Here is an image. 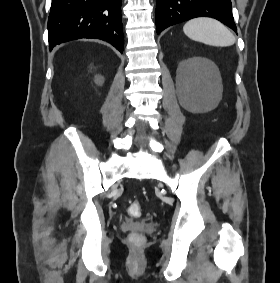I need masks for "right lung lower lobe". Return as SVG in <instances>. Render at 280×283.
I'll use <instances>...</instances> for the list:
<instances>
[{
	"mask_svg": "<svg viewBox=\"0 0 280 283\" xmlns=\"http://www.w3.org/2000/svg\"><path fill=\"white\" fill-rule=\"evenodd\" d=\"M122 0H52L48 18L49 49L80 38H96L121 53L124 36Z\"/></svg>",
	"mask_w": 280,
	"mask_h": 283,
	"instance_id": "obj_1",
	"label": "right lung lower lobe"
}]
</instances>
